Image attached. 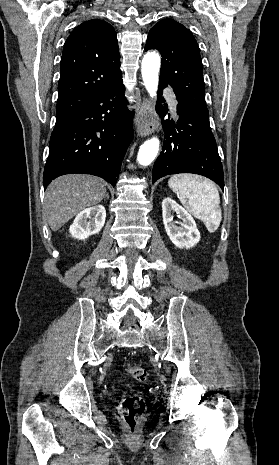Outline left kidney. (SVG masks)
Listing matches in <instances>:
<instances>
[{
    "mask_svg": "<svg viewBox=\"0 0 279 465\" xmlns=\"http://www.w3.org/2000/svg\"><path fill=\"white\" fill-rule=\"evenodd\" d=\"M173 211L182 222H174ZM162 215L166 233L176 247L189 249L200 241V232L193 217L172 198L166 197L162 201Z\"/></svg>",
    "mask_w": 279,
    "mask_h": 465,
    "instance_id": "1",
    "label": "left kidney"
}]
</instances>
